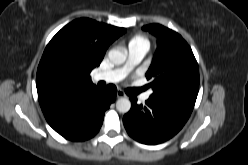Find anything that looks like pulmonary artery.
<instances>
[{
    "instance_id": "pulmonary-artery-1",
    "label": "pulmonary artery",
    "mask_w": 248,
    "mask_h": 165,
    "mask_svg": "<svg viewBox=\"0 0 248 165\" xmlns=\"http://www.w3.org/2000/svg\"><path fill=\"white\" fill-rule=\"evenodd\" d=\"M148 51V46L145 44H131L127 49L126 63L120 67L107 72H100L96 75V80H103L108 83H117L121 81L125 76L143 59ZM151 92H145L141 95L142 101H147L150 98Z\"/></svg>"
}]
</instances>
